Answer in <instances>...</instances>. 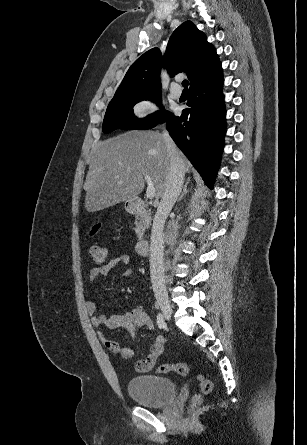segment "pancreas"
Listing matches in <instances>:
<instances>
[{
	"mask_svg": "<svg viewBox=\"0 0 307 445\" xmlns=\"http://www.w3.org/2000/svg\"><path fill=\"white\" fill-rule=\"evenodd\" d=\"M142 216H144V218H142ZM150 220H152V216H150V212L149 210H142L140 216H139V220H135L134 225H136V235H138L139 237V241H141L142 237H143V233H144V229H146V223H150Z\"/></svg>",
	"mask_w": 307,
	"mask_h": 445,
	"instance_id": "cf45deb5",
	"label": "pancreas"
}]
</instances>
